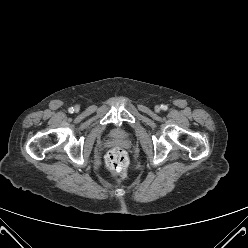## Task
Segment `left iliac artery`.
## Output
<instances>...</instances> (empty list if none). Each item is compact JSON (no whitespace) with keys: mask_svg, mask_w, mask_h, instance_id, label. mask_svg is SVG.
I'll list each match as a JSON object with an SVG mask.
<instances>
[{"mask_svg":"<svg viewBox=\"0 0 248 248\" xmlns=\"http://www.w3.org/2000/svg\"><path fill=\"white\" fill-rule=\"evenodd\" d=\"M162 109H163V110H167L168 107H167L166 105H162Z\"/></svg>","mask_w":248,"mask_h":248,"instance_id":"left-iliac-artery-1","label":"left iliac artery"}]
</instances>
